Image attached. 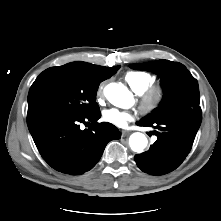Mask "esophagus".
Here are the masks:
<instances>
[{
    "label": "esophagus",
    "mask_w": 221,
    "mask_h": 221,
    "mask_svg": "<svg viewBox=\"0 0 221 221\" xmlns=\"http://www.w3.org/2000/svg\"><path fill=\"white\" fill-rule=\"evenodd\" d=\"M130 132L129 131H122V137L129 135Z\"/></svg>",
    "instance_id": "34e87169"
}]
</instances>
